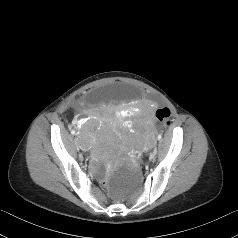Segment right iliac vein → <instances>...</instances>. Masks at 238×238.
Returning a JSON list of instances; mask_svg holds the SVG:
<instances>
[{"label":"right iliac vein","instance_id":"1","mask_svg":"<svg viewBox=\"0 0 238 238\" xmlns=\"http://www.w3.org/2000/svg\"><path fill=\"white\" fill-rule=\"evenodd\" d=\"M73 144L75 145V148H76L77 152H80V148H79V145L76 141V138H73Z\"/></svg>","mask_w":238,"mask_h":238}]
</instances>
